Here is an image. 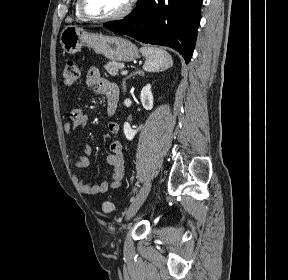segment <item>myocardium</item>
Here are the masks:
<instances>
[{
	"mask_svg": "<svg viewBox=\"0 0 288 280\" xmlns=\"http://www.w3.org/2000/svg\"><path fill=\"white\" fill-rule=\"evenodd\" d=\"M77 1L79 12L85 20L93 22H110L124 18L130 12L133 0H127L125 6L119 12L109 16L93 15L88 12L85 0H77Z\"/></svg>",
	"mask_w": 288,
	"mask_h": 280,
	"instance_id": "f54148a6",
	"label": "myocardium"
}]
</instances>
